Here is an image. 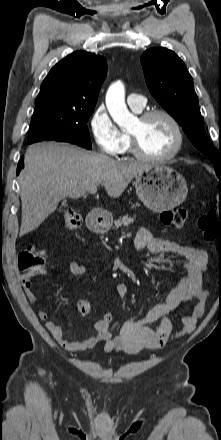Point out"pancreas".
I'll return each mask as SVG.
<instances>
[{"label": "pancreas", "mask_w": 221, "mask_h": 440, "mask_svg": "<svg viewBox=\"0 0 221 440\" xmlns=\"http://www.w3.org/2000/svg\"><path fill=\"white\" fill-rule=\"evenodd\" d=\"M135 217H129L128 215L123 216L122 218L115 220L114 223H111V227L118 229L121 226H128L133 223ZM106 231V230H104Z\"/></svg>", "instance_id": "1"}]
</instances>
